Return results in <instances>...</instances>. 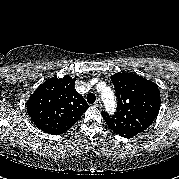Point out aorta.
Returning a JSON list of instances; mask_svg holds the SVG:
<instances>
[{
    "label": "aorta",
    "mask_w": 179,
    "mask_h": 179,
    "mask_svg": "<svg viewBox=\"0 0 179 179\" xmlns=\"http://www.w3.org/2000/svg\"><path fill=\"white\" fill-rule=\"evenodd\" d=\"M101 98L106 109L110 112H114L116 107V101H115L114 93L109 87L106 86L103 87Z\"/></svg>",
    "instance_id": "obj_1"
}]
</instances>
